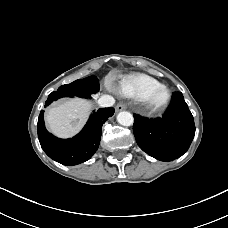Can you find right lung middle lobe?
Returning a JSON list of instances; mask_svg holds the SVG:
<instances>
[{
    "label": "right lung middle lobe",
    "mask_w": 228,
    "mask_h": 228,
    "mask_svg": "<svg viewBox=\"0 0 228 228\" xmlns=\"http://www.w3.org/2000/svg\"><path fill=\"white\" fill-rule=\"evenodd\" d=\"M99 91V81L95 76H89L84 79H78L68 85H62L56 92L69 96H78L82 98L90 97L91 93Z\"/></svg>",
    "instance_id": "1"
}]
</instances>
